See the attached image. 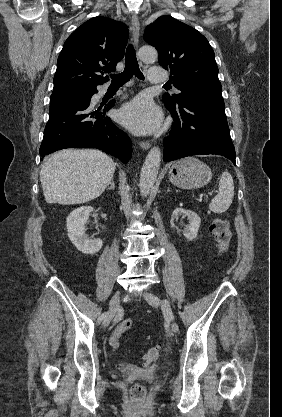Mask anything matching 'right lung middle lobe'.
<instances>
[{
    "label": "right lung middle lobe",
    "mask_w": 282,
    "mask_h": 417,
    "mask_svg": "<svg viewBox=\"0 0 282 417\" xmlns=\"http://www.w3.org/2000/svg\"><path fill=\"white\" fill-rule=\"evenodd\" d=\"M92 91L94 90H81V91H72V92H66V93L52 94L50 103H54V102L61 101L72 96L82 95V94L89 93Z\"/></svg>",
    "instance_id": "obj_1"
}]
</instances>
